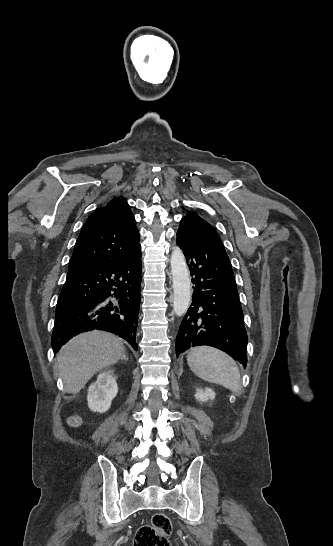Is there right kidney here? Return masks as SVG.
I'll return each mask as SVG.
<instances>
[{
    "label": "right kidney",
    "instance_id": "1",
    "mask_svg": "<svg viewBox=\"0 0 333 546\" xmlns=\"http://www.w3.org/2000/svg\"><path fill=\"white\" fill-rule=\"evenodd\" d=\"M118 386L113 370L103 371L96 382L88 389V406L94 412L103 413L111 406V401L117 395Z\"/></svg>",
    "mask_w": 333,
    "mask_h": 546
}]
</instances>
